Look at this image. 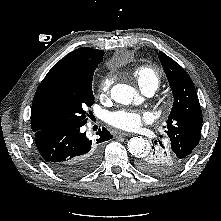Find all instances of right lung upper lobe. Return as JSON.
<instances>
[{"label":"right lung upper lobe","instance_id":"1","mask_svg":"<svg viewBox=\"0 0 221 221\" xmlns=\"http://www.w3.org/2000/svg\"><path fill=\"white\" fill-rule=\"evenodd\" d=\"M103 55L102 50L83 47L70 52L51 68L41 82L32 102L31 126L34 134L38 131L57 130L50 125L44 111L42 96L45 89L49 85L69 77L88 64L101 63Z\"/></svg>","mask_w":221,"mask_h":221}]
</instances>
